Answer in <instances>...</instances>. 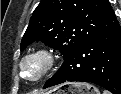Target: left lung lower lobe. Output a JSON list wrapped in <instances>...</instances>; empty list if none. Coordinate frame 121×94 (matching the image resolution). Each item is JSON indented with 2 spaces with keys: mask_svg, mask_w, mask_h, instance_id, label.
Segmentation results:
<instances>
[{
  "mask_svg": "<svg viewBox=\"0 0 121 94\" xmlns=\"http://www.w3.org/2000/svg\"><path fill=\"white\" fill-rule=\"evenodd\" d=\"M67 81L91 82L121 94V28L116 19L75 49L43 88Z\"/></svg>",
  "mask_w": 121,
  "mask_h": 94,
  "instance_id": "obj_1",
  "label": "left lung lower lobe"
}]
</instances>
